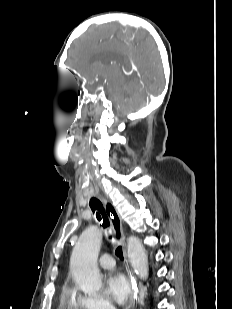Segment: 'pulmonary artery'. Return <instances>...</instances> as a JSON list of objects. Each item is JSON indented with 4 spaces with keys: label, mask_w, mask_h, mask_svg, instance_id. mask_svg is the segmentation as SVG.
<instances>
[{
    "label": "pulmonary artery",
    "mask_w": 232,
    "mask_h": 309,
    "mask_svg": "<svg viewBox=\"0 0 232 309\" xmlns=\"http://www.w3.org/2000/svg\"><path fill=\"white\" fill-rule=\"evenodd\" d=\"M99 265L103 269H111L114 267L115 261L110 254H104L99 259Z\"/></svg>",
    "instance_id": "obj_1"
}]
</instances>
